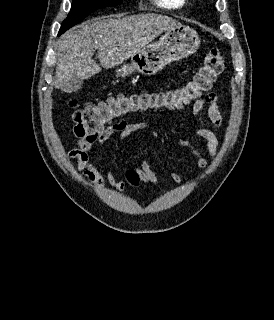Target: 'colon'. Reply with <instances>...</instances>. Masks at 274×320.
Returning a JSON list of instances; mask_svg holds the SVG:
<instances>
[{
  "instance_id": "obj_1",
  "label": "colon",
  "mask_w": 274,
  "mask_h": 320,
  "mask_svg": "<svg viewBox=\"0 0 274 320\" xmlns=\"http://www.w3.org/2000/svg\"><path fill=\"white\" fill-rule=\"evenodd\" d=\"M225 60L218 48H211L195 75L184 85L169 91L151 94H122L98 104H87L78 108L77 99L68 100L72 109V133L85 136H96L102 133V127H119L123 117L157 108H180L200 98L209 91L222 73ZM126 178L131 184L139 183V174L135 170L126 172Z\"/></svg>"
}]
</instances>
